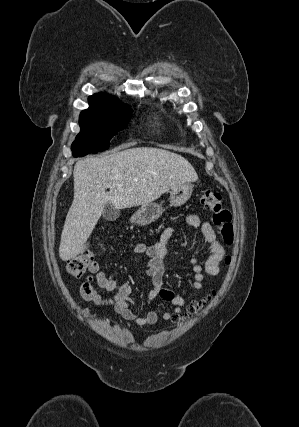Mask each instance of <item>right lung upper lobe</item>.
I'll use <instances>...</instances> for the list:
<instances>
[{
  "label": "right lung upper lobe",
  "mask_w": 299,
  "mask_h": 427,
  "mask_svg": "<svg viewBox=\"0 0 299 427\" xmlns=\"http://www.w3.org/2000/svg\"><path fill=\"white\" fill-rule=\"evenodd\" d=\"M88 100H89V104H107V103L119 102L116 98L110 95L102 94V93L94 94L90 96Z\"/></svg>",
  "instance_id": "cb5924a9"
}]
</instances>
